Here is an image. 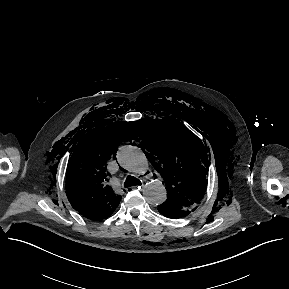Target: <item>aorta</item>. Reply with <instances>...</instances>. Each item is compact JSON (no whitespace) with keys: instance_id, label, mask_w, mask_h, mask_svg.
Masks as SVG:
<instances>
[{"instance_id":"aorta-1","label":"aorta","mask_w":289,"mask_h":289,"mask_svg":"<svg viewBox=\"0 0 289 289\" xmlns=\"http://www.w3.org/2000/svg\"><path fill=\"white\" fill-rule=\"evenodd\" d=\"M119 164L130 172L145 175L150 164L143 151L135 146H122L117 153ZM145 200L151 205H160L167 199V191L160 180L149 181L143 190Z\"/></svg>"}]
</instances>
